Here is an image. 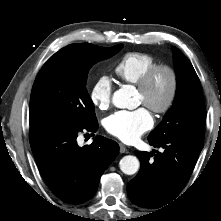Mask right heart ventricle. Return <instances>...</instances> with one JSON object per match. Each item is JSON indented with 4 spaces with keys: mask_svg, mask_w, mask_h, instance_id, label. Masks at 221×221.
<instances>
[{
    "mask_svg": "<svg viewBox=\"0 0 221 221\" xmlns=\"http://www.w3.org/2000/svg\"><path fill=\"white\" fill-rule=\"evenodd\" d=\"M157 59L148 53H126L115 65V74L123 82L137 84L141 77L154 65Z\"/></svg>",
    "mask_w": 221,
    "mask_h": 221,
    "instance_id": "e07e8e85",
    "label": "right heart ventricle"
}]
</instances>
